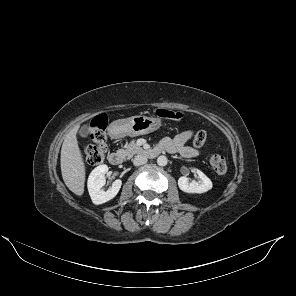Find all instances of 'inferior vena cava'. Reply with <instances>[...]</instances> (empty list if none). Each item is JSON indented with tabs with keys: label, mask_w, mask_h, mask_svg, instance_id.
I'll list each match as a JSON object with an SVG mask.
<instances>
[{
	"label": "inferior vena cava",
	"mask_w": 296,
	"mask_h": 296,
	"mask_svg": "<svg viewBox=\"0 0 296 296\" xmlns=\"http://www.w3.org/2000/svg\"><path fill=\"white\" fill-rule=\"evenodd\" d=\"M147 162V157L144 155H137L135 156V158L133 159V164L135 166H140L143 165Z\"/></svg>",
	"instance_id": "obj_1"
}]
</instances>
